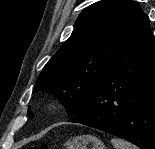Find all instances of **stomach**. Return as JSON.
I'll list each match as a JSON object with an SVG mask.
<instances>
[{"instance_id": "obj_1", "label": "stomach", "mask_w": 155, "mask_h": 149, "mask_svg": "<svg viewBox=\"0 0 155 149\" xmlns=\"http://www.w3.org/2000/svg\"><path fill=\"white\" fill-rule=\"evenodd\" d=\"M65 149H106L100 139L92 135L71 138L65 143Z\"/></svg>"}]
</instances>
